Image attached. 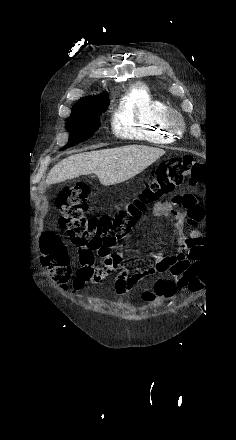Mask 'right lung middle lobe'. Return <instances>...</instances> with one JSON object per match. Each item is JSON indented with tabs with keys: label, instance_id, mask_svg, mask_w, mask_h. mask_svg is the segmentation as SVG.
<instances>
[{
	"label": "right lung middle lobe",
	"instance_id": "right-lung-middle-lobe-1",
	"mask_svg": "<svg viewBox=\"0 0 236 440\" xmlns=\"http://www.w3.org/2000/svg\"><path fill=\"white\" fill-rule=\"evenodd\" d=\"M107 105V96L76 103L66 122L70 133L69 142L61 150L89 139L100 127L99 117Z\"/></svg>",
	"mask_w": 236,
	"mask_h": 440
}]
</instances>
